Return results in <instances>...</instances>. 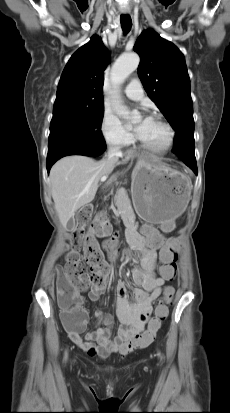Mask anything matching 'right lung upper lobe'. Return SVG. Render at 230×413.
<instances>
[{
	"label": "right lung upper lobe",
	"mask_w": 230,
	"mask_h": 413,
	"mask_svg": "<svg viewBox=\"0 0 230 413\" xmlns=\"http://www.w3.org/2000/svg\"><path fill=\"white\" fill-rule=\"evenodd\" d=\"M109 60L108 51L96 35L79 48L61 75L53 113L104 109L103 71Z\"/></svg>",
	"instance_id": "cb5924a9"
}]
</instances>
